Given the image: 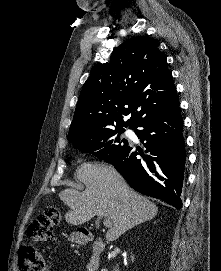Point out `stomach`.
<instances>
[{
	"mask_svg": "<svg viewBox=\"0 0 221 271\" xmlns=\"http://www.w3.org/2000/svg\"><path fill=\"white\" fill-rule=\"evenodd\" d=\"M72 237H75V234H72Z\"/></svg>",
	"mask_w": 221,
	"mask_h": 271,
	"instance_id": "obj_1",
	"label": "stomach"
}]
</instances>
